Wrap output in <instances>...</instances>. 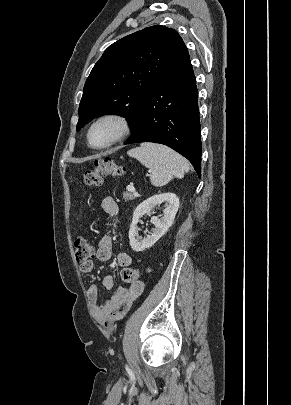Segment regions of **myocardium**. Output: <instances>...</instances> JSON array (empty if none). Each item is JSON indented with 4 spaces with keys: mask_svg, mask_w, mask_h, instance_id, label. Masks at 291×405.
I'll use <instances>...</instances> for the list:
<instances>
[{
    "mask_svg": "<svg viewBox=\"0 0 291 405\" xmlns=\"http://www.w3.org/2000/svg\"><path fill=\"white\" fill-rule=\"evenodd\" d=\"M104 122H109L113 124L115 126V133L112 136V138L105 144L95 146L91 143L90 140L91 132L97 125ZM130 131L131 125L129 119L126 116L115 112L104 113L95 118L89 125L86 133L87 144L90 148L95 150L107 149L125 139L129 135Z\"/></svg>",
    "mask_w": 291,
    "mask_h": 405,
    "instance_id": "1",
    "label": "myocardium"
}]
</instances>
